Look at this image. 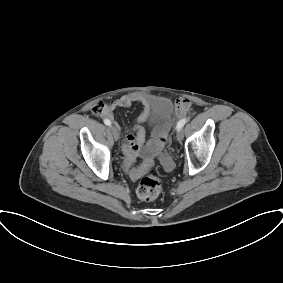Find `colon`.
<instances>
[{"label":"colon","instance_id":"colon-1","mask_svg":"<svg viewBox=\"0 0 283 283\" xmlns=\"http://www.w3.org/2000/svg\"><path fill=\"white\" fill-rule=\"evenodd\" d=\"M104 111V106L99 103L94 106L93 113L100 115ZM166 141V135L164 133L159 135L156 147L160 149ZM162 190V183L160 179V173L157 167L151 166L148 174L140 181L137 188V195L143 201L156 200Z\"/></svg>","mask_w":283,"mask_h":283}]
</instances>
